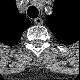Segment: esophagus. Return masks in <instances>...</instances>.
Returning <instances> with one entry per match:
<instances>
[{"instance_id": "esophagus-1", "label": "esophagus", "mask_w": 80, "mask_h": 80, "mask_svg": "<svg viewBox=\"0 0 80 80\" xmlns=\"http://www.w3.org/2000/svg\"><path fill=\"white\" fill-rule=\"evenodd\" d=\"M34 22L38 25L42 24L43 23V20L40 18V17H37L34 19Z\"/></svg>"}]
</instances>
